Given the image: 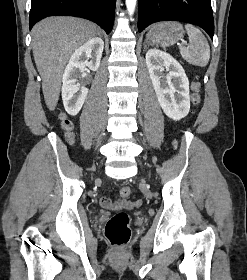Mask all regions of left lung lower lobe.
Wrapping results in <instances>:
<instances>
[{
    "instance_id": "0a47b994",
    "label": "left lung lower lobe",
    "mask_w": 247,
    "mask_h": 280,
    "mask_svg": "<svg viewBox=\"0 0 247 280\" xmlns=\"http://www.w3.org/2000/svg\"><path fill=\"white\" fill-rule=\"evenodd\" d=\"M138 31L158 21H183L203 28L213 39L211 0H138Z\"/></svg>"
}]
</instances>
